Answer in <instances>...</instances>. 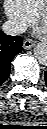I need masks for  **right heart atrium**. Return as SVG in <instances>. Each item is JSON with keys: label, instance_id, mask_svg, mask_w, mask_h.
<instances>
[{"label": "right heart atrium", "instance_id": "1", "mask_svg": "<svg viewBox=\"0 0 47 129\" xmlns=\"http://www.w3.org/2000/svg\"><path fill=\"white\" fill-rule=\"evenodd\" d=\"M3 8L14 33L24 31L33 23L34 15L26 9L20 0H4Z\"/></svg>", "mask_w": 47, "mask_h": 129}]
</instances>
